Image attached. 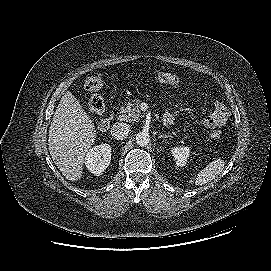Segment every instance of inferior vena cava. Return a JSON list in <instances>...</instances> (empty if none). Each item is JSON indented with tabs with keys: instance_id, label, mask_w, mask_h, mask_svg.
Returning a JSON list of instances; mask_svg holds the SVG:
<instances>
[{
	"instance_id": "1",
	"label": "inferior vena cava",
	"mask_w": 271,
	"mask_h": 271,
	"mask_svg": "<svg viewBox=\"0 0 271 271\" xmlns=\"http://www.w3.org/2000/svg\"><path fill=\"white\" fill-rule=\"evenodd\" d=\"M111 134L116 140H123L129 134V125L126 123H115L111 128Z\"/></svg>"
}]
</instances>
